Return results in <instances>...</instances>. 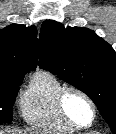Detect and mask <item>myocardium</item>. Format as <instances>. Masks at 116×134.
<instances>
[{"label":"myocardium","mask_w":116,"mask_h":134,"mask_svg":"<svg viewBox=\"0 0 116 134\" xmlns=\"http://www.w3.org/2000/svg\"><path fill=\"white\" fill-rule=\"evenodd\" d=\"M75 93L81 96L90 106L92 110V120L89 124L87 125H82L76 122L68 113L66 109V99L69 94ZM58 112L60 116L63 118L65 122H67L69 125L76 129H87L92 127L96 120H97V106L93 99L82 89L75 87V86H64L58 93L57 95V100H56Z\"/></svg>","instance_id":"f54148a6"}]
</instances>
